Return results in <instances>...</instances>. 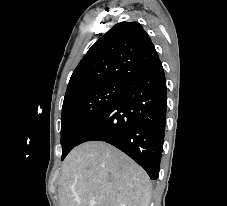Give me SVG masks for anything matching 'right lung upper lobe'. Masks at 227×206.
<instances>
[{
    "mask_svg": "<svg viewBox=\"0 0 227 206\" xmlns=\"http://www.w3.org/2000/svg\"><path fill=\"white\" fill-rule=\"evenodd\" d=\"M159 61L150 37L137 22H121L105 33L72 73L65 97L107 81L124 82Z\"/></svg>",
    "mask_w": 227,
    "mask_h": 206,
    "instance_id": "right-lung-upper-lobe-1",
    "label": "right lung upper lobe"
}]
</instances>
